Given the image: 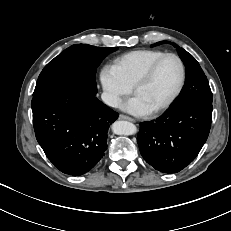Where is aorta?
<instances>
[{
	"mask_svg": "<svg viewBox=\"0 0 231 231\" xmlns=\"http://www.w3.org/2000/svg\"><path fill=\"white\" fill-rule=\"evenodd\" d=\"M112 131L117 135H133L137 132V128L128 121H116L112 125Z\"/></svg>",
	"mask_w": 231,
	"mask_h": 231,
	"instance_id": "aorta-1",
	"label": "aorta"
}]
</instances>
